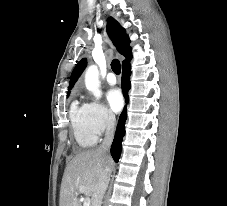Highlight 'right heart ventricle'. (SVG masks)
<instances>
[{
    "instance_id": "1",
    "label": "right heart ventricle",
    "mask_w": 227,
    "mask_h": 206,
    "mask_svg": "<svg viewBox=\"0 0 227 206\" xmlns=\"http://www.w3.org/2000/svg\"><path fill=\"white\" fill-rule=\"evenodd\" d=\"M70 120L78 145L82 148L92 147L97 141V135L89 126L85 105L74 101L70 108Z\"/></svg>"
}]
</instances>
